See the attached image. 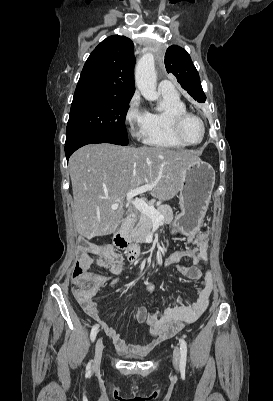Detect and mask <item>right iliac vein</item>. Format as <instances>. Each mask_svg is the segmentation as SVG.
<instances>
[{
	"label": "right iliac vein",
	"instance_id": "63e3f726",
	"mask_svg": "<svg viewBox=\"0 0 273 401\" xmlns=\"http://www.w3.org/2000/svg\"><path fill=\"white\" fill-rule=\"evenodd\" d=\"M103 348H104L103 341L101 338H99L95 345V355L92 363L93 368H97L100 365L103 354Z\"/></svg>",
	"mask_w": 273,
	"mask_h": 401
}]
</instances>
